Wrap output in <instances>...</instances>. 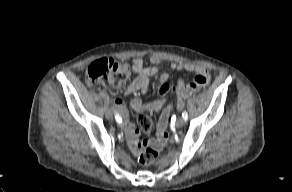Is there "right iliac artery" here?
Returning a JSON list of instances; mask_svg holds the SVG:
<instances>
[{"mask_svg":"<svg viewBox=\"0 0 292 192\" xmlns=\"http://www.w3.org/2000/svg\"><path fill=\"white\" fill-rule=\"evenodd\" d=\"M115 119L117 122H121V116L118 113H115Z\"/></svg>","mask_w":292,"mask_h":192,"instance_id":"obj_1","label":"right iliac artery"}]
</instances>
